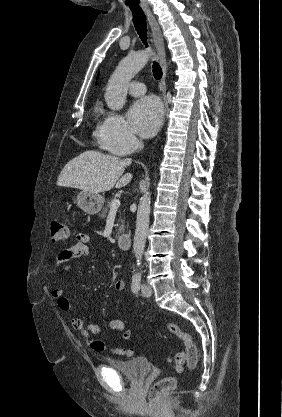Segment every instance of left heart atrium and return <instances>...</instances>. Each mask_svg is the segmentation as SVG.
Masks as SVG:
<instances>
[{"label":"left heart atrium","mask_w":282,"mask_h":417,"mask_svg":"<svg viewBox=\"0 0 282 417\" xmlns=\"http://www.w3.org/2000/svg\"><path fill=\"white\" fill-rule=\"evenodd\" d=\"M162 118L161 103L154 97H146L136 102L129 111L132 129L140 135L155 132Z\"/></svg>","instance_id":"1"}]
</instances>
